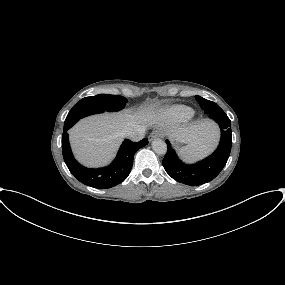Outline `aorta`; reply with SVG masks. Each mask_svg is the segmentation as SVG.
I'll return each mask as SVG.
<instances>
[{
  "label": "aorta",
  "instance_id": "1",
  "mask_svg": "<svg viewBox=\"0 0 285 285\" xmlns=\"http://www.w3.org/2000/svg\"><path fill=\"white\" fill-rule=\"evenodd\" d=\"M152 148L155 153L159 155H164L167 152V145L166 143L161 139H155L152 141Z\"/></svg>",
  "mask_w": 285,
  "mask_h": 285
}]
</instances>
